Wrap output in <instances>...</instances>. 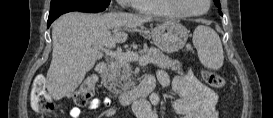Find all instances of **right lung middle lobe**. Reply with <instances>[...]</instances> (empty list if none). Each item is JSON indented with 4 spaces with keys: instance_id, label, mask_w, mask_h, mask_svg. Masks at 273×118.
<instances>
[{
    "instance_id": "obj_1",
    "label": "right lung middle lobe",
    "mask_w": 273,
    "mask_h": 118,
    "mask_svg": "<svg viewBox=\"0 0 273 118\" xmlns=\"http://www.w3.org/2000/svg\"><path fill=\"white\" fill-rule=\"evenodd\" d=\"M68 2H72L75 4L97 7L101 9H105L109 6L110 0H65ZM59 2V0H52L51 3Z\"/></svg>"
}]
</instances>
